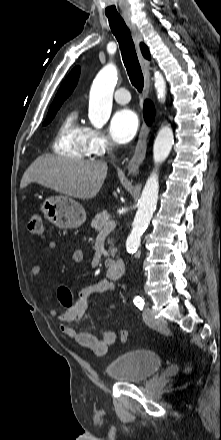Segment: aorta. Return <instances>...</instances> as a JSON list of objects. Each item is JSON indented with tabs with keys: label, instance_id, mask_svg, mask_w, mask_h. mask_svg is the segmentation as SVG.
Segmentation results:
<instances>
[{
	"label": "aorta",
	"instance_id": "1",
	"mask_svg": "<svg viewBox=\"0 0 221 440\" xmlns=\"http://www.w3.org/2000/svg\"><path fill=\"white\" fill-rule=\"evenodd\" d=\"M155 89L159 101L164 102L166 82L161 73L154 74ZM117 83V69L113 65L104 67L93 81L88 117L90 123L97 128L104 126L112 111L113 92ZM174 143L173 131L169 125L162 126L155 138L153 160L156 166L168 157ZM159 192L158 175L155 171L148 178L139 200L138 211L133 221V228L126 241L128 252H134L140 245L141 236L147 228L156 208Z\"/></svg>",
	"mask_w": 221,
	"mask_h": 440
}]
</instances>
